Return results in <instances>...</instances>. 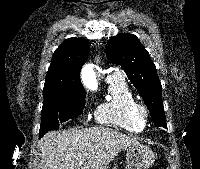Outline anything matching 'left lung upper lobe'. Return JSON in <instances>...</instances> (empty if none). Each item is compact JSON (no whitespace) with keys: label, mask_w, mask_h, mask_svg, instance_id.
<instances>
[{"label":"left lung upper lobe","mask_w":200,"mask_h":169,"mask_svg":"<svg viewBox=\"0 0 200 169\" xmlns=\"http://www.w3.org/2000/svg\"><path fill=\"white\" fill-rule=\"evenodd\" d=\"M107 57L121 65L147 105L156 126L167 128L161 83L148 52L135 35L122 33L107 41Z\"/></svg>","instance_id":"1"}]
</instances>
